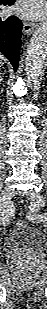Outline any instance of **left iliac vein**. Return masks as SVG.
Segmentation results:
<instances>
[{"mask_svg":"<svg viewBox=\"0 0 47 309\" xmlns=\"http://www.w3.org/2000/svg\"><path fill=\"white\" fill-rule=\"evenodd\" d=\"M30 198L32 200V204L30 205V210L32 212H37L41 207L45 204L44 197L38 192H30Z\"/></svg>","mask_w":47,"mask_h":309,"instance_id":"1","label":"left iliac vein"}]
</instances>
